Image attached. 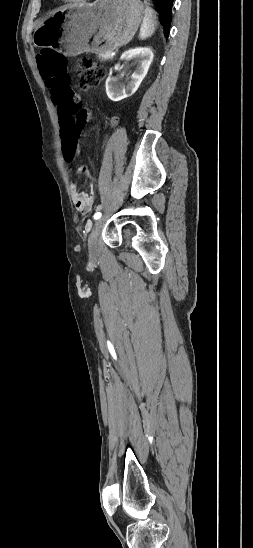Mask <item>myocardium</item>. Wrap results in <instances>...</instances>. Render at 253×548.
Returning <instances> with one entry per match:
<instances>
[{"instance_id": "1", "label": "myocardium", "mask_w": 253, "mask_h": 548, "mask_svg": "<svg viewBox=\"0 0 253 548\" xmlns=\"http://www.w3.org/2000/svg\"><path fill=\"white\" fill-rule=\"evenodd\" d=\"M65 2H81V1H84V0H63Z\"/></svg>"}]
</instances>
